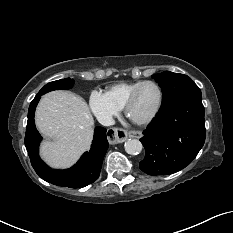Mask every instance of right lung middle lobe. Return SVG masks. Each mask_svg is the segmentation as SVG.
Listing matches in <instances>:
<instances>
[{"instance_id": "right-lung-middle-lobe-1", "label": "right lung middle lobe", "mask_w": 233, "mask_h": 233, "mask_svg": "<svg viewBox=\"0 0 233 233\" xmlns=\"http://www.w3.org/2000/svg\"><path fill=\"white\" fill-rule=\"evenodd\" d=\"M74 81L73 79H62V80H56L53 82H50L46 84L39 92L38 94H45L49 91L52 90H57V89H69L73 86Z\"/></svg>"}]
</instances>
